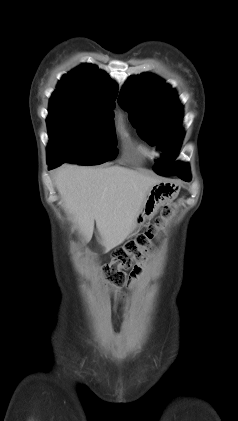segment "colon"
Wrapping results in <instances>:
<instances>
[{
	"mask_svg": "<svg viewBox=\"0 0 238 421\" xmlns=\"http://www.w3.org/2000/svg\"><path fill=\"white\" fill-rule=\"evenodd\" d=\"M171 214V207H164L153 225L113 252L111 261L103 268V273L115 289L125 287L129 282L128 272L133 273L146 256L154 252L153 241L158 237L159 230Z\"/></svg>",
	"mask_w": 238,
	"mask_h": 421,
	"instance_id": "colon-1",
	"label": "colon"
}]
</instances>
